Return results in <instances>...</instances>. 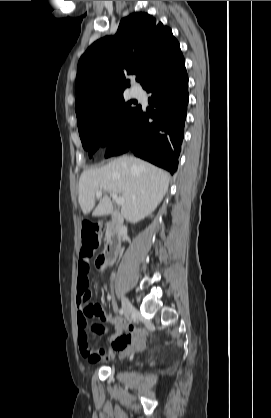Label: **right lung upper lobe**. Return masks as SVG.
Instances as JSON below:
<instances>
[{
	"label": "right lung upper lobe",
	"instance_id": "cb5924a9",
	"mask_svg": "<svg viewBox=\"0 0 271 418\" xmlns=\"http://www.w3.org/2000/svg\"><path fill=\"white\" fill-rule=\"evenodd\" d=\"M184 60L169 27L148 13L123 18L113 37L94 42L81 56L76 77V115L119 95L129 86L125 76H141L146 90Z\"/></svg>",
	"mask_w": 271,
	"mask_h": 418
}]
</instances>
